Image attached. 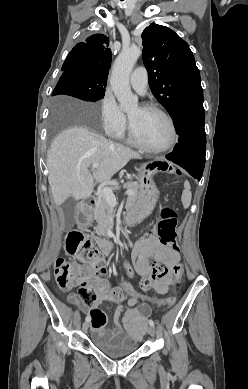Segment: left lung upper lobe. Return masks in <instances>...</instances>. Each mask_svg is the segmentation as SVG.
Listing matches in <instances>:
<instances>
[{
	"label": "left lung upper lobe",
	"instance_id": "1",
	"mask_svg": "<svg viewBox=\"0 0 248 389\" xmlns=\"http://www.w3.org/2000/svg\"><path fill=\"white\" fill-rule=\"evenodd\" d=\"M142 39L151 91L171 116L184 102L203 96L199 69L184 40L155 23L144 29Z\"/></svg>",
	"mask_w": 248,
	"mask_h": 389
}]
</instances>
